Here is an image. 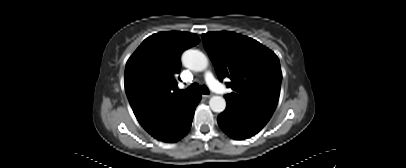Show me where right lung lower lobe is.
<instances>
[{
	"mask_svg": "<svg viewBox=\"0 0 406 168\" xmlns=\"http://www.w3.org/2000/svg\"><path fill=\"white\" fill-rule=\"evenodd\" d=\"M201 100L200 94H194L190 102L172 119L171 123L158 136L154 137L164 142H176L190 130L195 108Z\"/></svg>",
	"mask_w": 406,
	"mask_h": 168,
	"instance_id": "obj_1",
	"label": "right lung lower lobe"
}]
</instances>
